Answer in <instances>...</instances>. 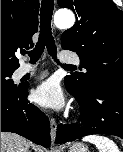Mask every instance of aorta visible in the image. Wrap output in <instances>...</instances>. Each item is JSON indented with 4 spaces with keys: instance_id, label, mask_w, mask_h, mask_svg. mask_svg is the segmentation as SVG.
I'll return each instance as SVG.
<instances>
[{
    "instance_id": "1",
    "label": "aorta",
    "mask_w": 123,
    "mask_h": 152,
    "mask_svg": "<svg viewBox=\"0 0 123 152\" xmlns=\"http://www.w3.org/2000/svg\"><path fill=\"white\" fill-rule=\"evenodd\" d=\"M75 16L71 11L62 10L56 12L54 16V23L59 29H68L74 25Z\"/></svg>"
}]
</instances>
